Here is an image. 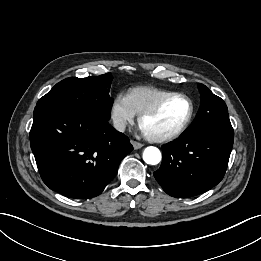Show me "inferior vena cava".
<instances>
[{
	"instance_id": "inferior-vena-cava-1",
	"label": "inferior vena cava",
	"mask_w": 261,
	"mask_h": 261,
	"mask_svg": "<svg viewBox=\"0 0 261 261\" xmlns=\"http://www.w3.org/2000/svg\"><path fill=\"white\" fill-rule=\"evenodd\" d=\"M114 128L120 132H123L126 128V123L121 119L113 120Z\"/></svg>"
}]
</instances>
